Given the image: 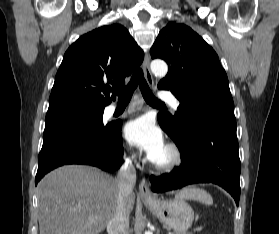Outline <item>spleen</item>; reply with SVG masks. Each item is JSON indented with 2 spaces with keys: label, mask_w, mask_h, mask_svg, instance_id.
Listing matches in <instances>:
<instances>
[{
  "label": "spleen",
  "mask_w": 279,
  "mask_h": 234,
  "mask_svg": "<svg viewBox=\"0 0 279 234\" xmlns=\"http://www.w3.org/2000/svg\"><path fill=\"white\" fill-rule=\"evenodd\" d=\"M176 198L179 199H192L204 203L206 205H212L213 199L209 193L199 188H186L183 189Z\"/></svg>",
  "instance_id": "1"
}]
</instances>
